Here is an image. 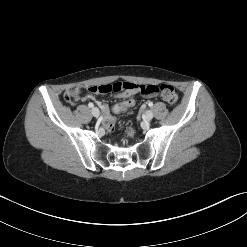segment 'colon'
<instances>
[{"label":"colon","mask_w":247,"mask_h":247,"mask_svg":"<svg viewBox=\"0 0 247 247\" xmlns=\"http://www.w3.org/2000/svg\"><path fill=\"white\" fill-rule=\"evenodd\" d=\"M125 89H130L142 97H148L149 99H159L160 97L170 105H174L178 101V95L173 86L169 84H162L159 88L154 84H135L133 81L128 82H117L114 84L95 85L88 88L89 92L94 94H106L110 92H120ZM82 87L76 86L65 93V100L69 103H73L82 93ZM134 102L131 99H127L124 103H120L117 107L116 114L123 115L127 110H131ZM104 127L107 131L114 130L115 119L109 117L105 120ZM134 131L128 132L127 136H133Z\"/></svg>","instance_id":"1"}]
</instances>
